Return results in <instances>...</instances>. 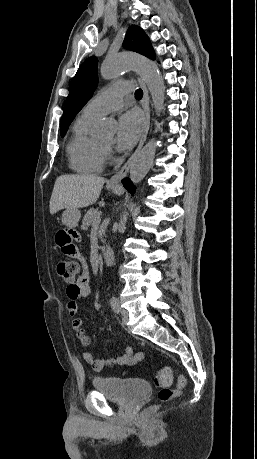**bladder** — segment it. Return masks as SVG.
<instances>
[{
  "label": "bladder",
  "instance_id": "1",
  "mask_svg": "<svg viewBox=\"0 0 257 459\" xmlns=\"http://www.w3.org/2000/svg\"><path fill=\"white\" fill-rule=\"evenodd\" d=\"M94 390L120 404L136 403L151 393L149 384L141 379L97 376L92 381Z\"/></svg>",
  "mask_w": 257,
  "mask_h": 459
}]
</instances>
